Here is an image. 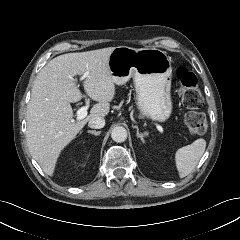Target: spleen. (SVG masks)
Returning <instances> with one entry per match:
<instances>
[{
    "label": "spleen",
    "mask_w": 240,
    "mask_h": 240,
    "mask_svg": "<svg viewBox=\"0 0 240 240\" xmlns=\"http://www.w3.org/2000/svg\"><path fill=\"white\" fill-rule=\"evenodd\" d=\"M206 141L202 138L192 144L177 150L175 154L176 167L181 178L189 175L204 154Z\"/></svg>",
    "instance_id": "3e777b00"
}]
</instances>
